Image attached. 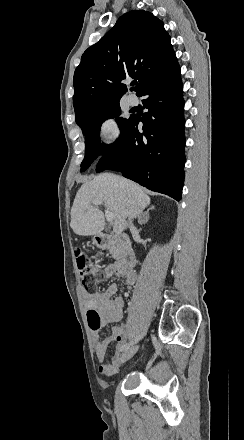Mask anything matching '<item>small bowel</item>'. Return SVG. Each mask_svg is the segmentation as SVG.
<instances>
[{"label": "small bowel", "instance_id": "c3829d8e", "mask_svg": "<svg viewBox=\"0 0 244 440\" xmlns=\"http://www.w3.org/2000/svg\"><path fill=\"white\" fill-rule=\"evenodd\" d=\"M113 276H118L122 283L128 288L133 287L136 281L135 270L127 269L120 261L108 265L104 269V278L108 279ZM117 291V284H111L106 290L95 293H89L84 288L81 289V296L85 301L86 311L89 308L95 309L101 316L102 325L115 324L111 328V334L103 340H100L97 330L91 327L93 329L91 333L93 347L96 358L100 363L99 371L107 376L116 373L123 365L122 354L119 349L121 345H125V338L129 332L126 325L116 324L119 323L124 316V299L121 296H115ZM112 342L116 343V347L111 361L106 362L107 348Z\"/></svg>", "mask_w": 244, "mask_h": 440}]
</instances>
